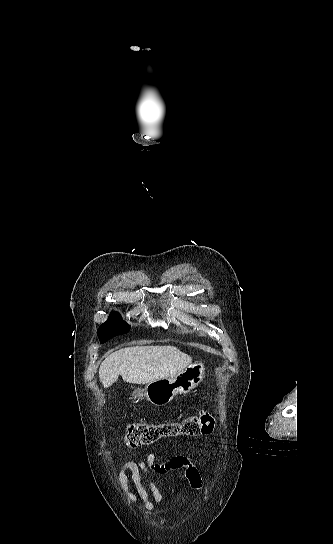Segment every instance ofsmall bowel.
Returning a JSON list of instances; mask_svg holds the SVG:
<instances>
[{
  "mask_svg": "<svg viewBox=\"0 0 333 544\" xmlns=\"http://www.w3.org/2000/svg\"><path fill=\"white\" fill-rule=\"evenodd\" d=\"M181 470L189 486L193 490L201 487L202 480L197 467L184 456H176L166 462H159L153 453H148L139 462H126L118 475V485L132 502L141 501L147 513L154 509V503H162L163 496L153 482L150 472L155 474H166L169 471ZM146 481L147 487L143 484ZM129 481L134 485L130 489Z\"/></svg>",
  "mask_w": 333,
  "mask_h": 544,
  "instance_id": "obj_1",
  "label": "small bowel"
}]
</instances>
